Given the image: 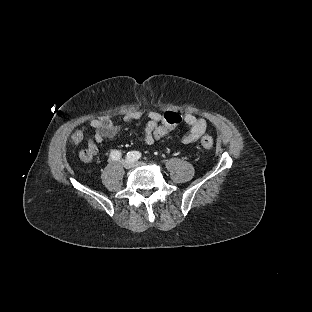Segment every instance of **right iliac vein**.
Instances as JSON below:
<instances>
[{
	"label": "right iliac vein",
	"instance_id": "obj_1",
	"mask_svg": "<svg viewBox=\"0 0 312 312\" xmlns=\"http://www.w3.org/2000/svg\"><path fill=\"white\" fill-rule=\"evenodd\" d=\"M123 167L126 169H131L133 167V162L130 159H126L122 162Z\"/></svg>",
	"mask_w": 312,
	"mask_h": 312
}]
</instances>
